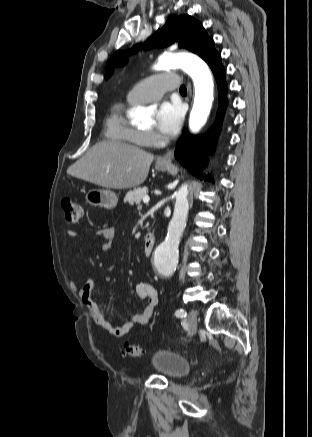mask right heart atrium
<instances>
[{"instance_id": "1", "label": "right heart atrium", "mask_w": 312, "mask_h": 437, "mask_svg": "<svg viewBox=\"0 0 312 437\" xmlns=\"http://www.w3.org/2000/svg\"><path fill=\"white\" fill-rule=\"evenodd\" d=\"M143 137L147 144H153L157 140V135L152 131L144 132Z\"/></svg>"}]
</instances>
